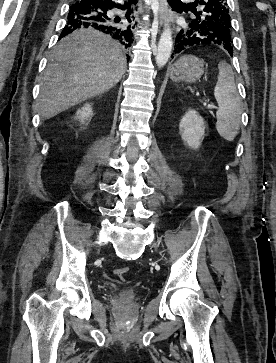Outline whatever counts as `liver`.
<instances>
[{
    "label": "liver",
    "instance_id": "liver-1",
    "mask_svg": "<svg viewBox=\"0 0 276 363\" xmlns=\"http://www.w3.org/2000/svg\"><path fill=\"white\" fill-rule=\"evenodd\" d=\"M125 71L126 57L118 42L92 28L74 31L50 55L40 84L41 118L110 90Z\"/></svg>",
    "mask_w": 276,
    "mask_h": 363
}]
</instances>
